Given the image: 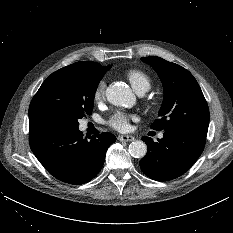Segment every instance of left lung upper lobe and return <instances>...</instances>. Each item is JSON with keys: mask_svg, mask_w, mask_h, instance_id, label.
Here are the masks:
<instances>
[{"mask_svg": "<svg viewBox=\"0 0 233 233\" xmlns=\"http://www.w3.org/2000/svg\"><path fill=\"white\" fill-rule=\"evenodd\" d=\"M141 60L153 67L164 88L160 119L155 120L151 128L167 131L198 126L208 129V105L193 75L180 65L160 57H143Z\"/></svg>", "mask_w": 233, "mask_h": 233, "instance_id": "left-lung-upper-lobe-1", "label": "left lung upper lobe"}]
</instances>
